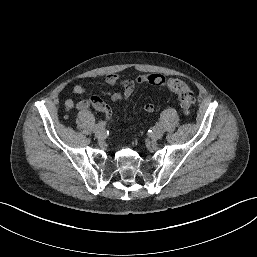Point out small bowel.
Listing matches in <instances>:
<instances>
[{"label": "small bowel", "mask_w": 257, "mask_h": 257, "mask_svg": "<svg viewBox=\"0 0 257 257\" xmlns=\"http://www.w3.org/2000/svg\"><path fill=\"white\" fill-rule=\"evenodd\" d=\"M106 82L112 87H120L122 91L114 92L109 96V100L113 102H121L127 100L134 92L135 87L139 84L147 83L154 86H164L166 84V79L160 74H150L144 76H138L134 79H122L118 74H109L106 77ZM86 91L82 84H75L73 86V92L75 94H84ZM65 106L67 109H73L76 107L79 110H85L88 108H93L104 115L106 121L111 118L112 111L108 104L98 96L92 95L85 100H82L75 104L72 99H67L65 101ZM144 111L146 113L154 112V105L152 103H147L144 106Z\"/></svg>", "instance_id": "1"}]
</instances>
